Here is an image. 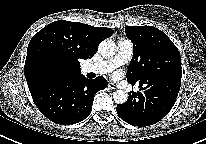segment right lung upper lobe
Here are the masks:
<instances>
[{
	"instance_id": "right-lung-upper-lobe-1",
	"label": "right lung upper lobe",
	"mask_w": 206,
	"mask_h": 144,
	"mask_svg": "<svg viewBox=\"0 0 206 144\" xmlns=\"http://www.w3.org/2000/svg\"><path fill=\"white\" fill-rule=\"evenodd\" d=\"M114 31L80 22L55 21L36 33L27 48L25 78L29 90L40 83L72 80L81 75L80 60L92 58Z\"/></svg>"
}]
</instances>
